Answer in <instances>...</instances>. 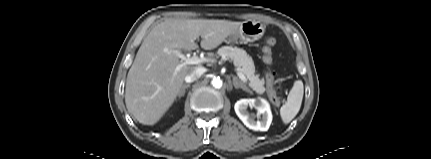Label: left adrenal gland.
I'll list each match as a JSON object with an SVG mask.
<instances>
[{
  "label": "left adrenal gland",
  "mask_w": 431,
  "mask_h": 159,
  "mask_svg": "<svg viewBox=\"0 0 431 159\" xmlns=\"http://www.w3.org/2000/svg\"><path fill=\"white\" fill-rule=\"evenodd\" d=\"M233 85L236 89L241 88L244 91H247L252 94V91L248 87H246L241 81H239V79L235 76H233Z\"/></svg>",
  "instance_id": "left-adrenal-gland-1"
}]
</instances>
